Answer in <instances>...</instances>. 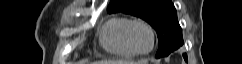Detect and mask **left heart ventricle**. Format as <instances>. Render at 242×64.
I'll return each instance as SVG.
<instances>
[{
    "mask_svg": "<svg viewBox=\"0 0 242 64\" xmlns=\"http://www.w3.org/2000/svg\"><path fill=\"white\" fill-rule=\"evenodd\" d=\"M132 39L140 51H147L152 45V38L149 31L142 25L134 27L132 31Z\"/></svg>",
    "mask_w": 242,
    "mask_h": 64,
    "instance_id": "1",
    "label": "left heart ventricle"
}]
</instances>
